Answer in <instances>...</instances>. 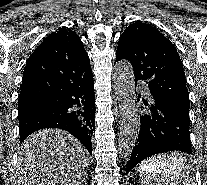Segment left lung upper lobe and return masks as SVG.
Returning a JSON list of instances; mask_svg holds the SVG:
<instances>
[{
	"mask_svg": "<svg viewBox=\"0 0 207 185\" xmlns=\"http://www.w3.org/2000/svg\"><path fill=\"white\" fill-rule=\"evenodd\" d=\"M127 59L135 80H145L151 93L189 114V94L182 61L174 45L155 27L135 21L119 38L116 60Z\"/></svg>",
	"mask_w": 207,
	"mask_h": 185,
	"instance_id": "left-lung-upper-lobe-1",
	"label": "left lung upper lobe"
}]
</instances>
